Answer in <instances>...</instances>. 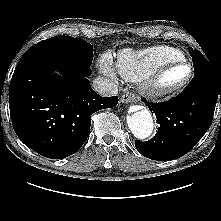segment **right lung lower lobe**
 Returning <instances> with one entry per match:
<instances>
[{
  "label": "right lung lower lobe",
  "instance_id": "1",
  "mask_svg": "<svg viewBox=\"0 0 221 221\" xmlns=\"http://www.w3.org/2000/svg\"><path fill=\"white\" fill-rule=\"evenodd\" d=\"M58 69L60 75L55 76ZM90 66L38 46L18 62L9 88L10 114L21 141L38 154L63 159L89 136L91 115L118 104L90 86Z\"/></svg>",
  "mask_w": 221,
  "mask_h": 221
}]
</instances>
